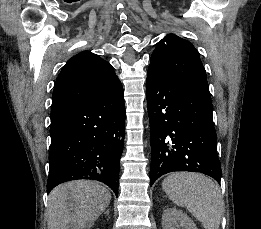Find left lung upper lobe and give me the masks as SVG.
Masks as SVG:
<instances>
[{
    "label": "left lung upper lobe",
    "mask_w": 261,
    "mask_h": 229,
    "mask_svg": "<svg viewBox=\"0 0 261 229\" xmlns=\"http://www.w3.org/2000/svg\"><path fill=\"white\" fill-rule=\"evenodd\" d=\"M149 69L171 77L207 83L206 72L194 46L176 35L161 40L150 58Z\"/></svg>",
    "instance_id": "5c2ea615"
}]
</instances>
